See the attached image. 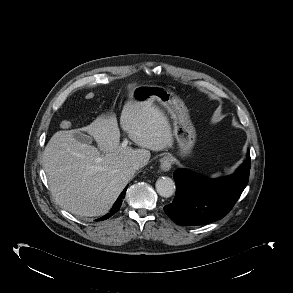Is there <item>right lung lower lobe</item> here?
Instances as JSON below:
<instances>
[{
    "label": "right lung lower lobe",
    "mask_w": 293,
    "mask_h": 293,
    "mask_svg": "<svg viewBox=\"0 0 293 293\" xmlns=\"http://www.w3.org/2000/svg\"><path fill=\"white\" fill-rule=\"evenodd\" d=\"M127 187L123 190V192L121 193V195L118 197V199L116 200L115 204L113 205L110 213H108L107 215H105L104 217L98 219L97 221L100 220H105L108 219L109 217H111L112 215H114L121 207L123 198L125 196V192H126Z\"/></svg>",
    "instance_id": "right-lung-lower-lobe-1"
}]
</instances>
